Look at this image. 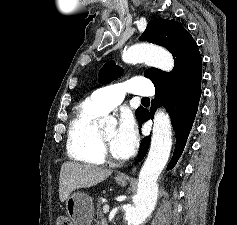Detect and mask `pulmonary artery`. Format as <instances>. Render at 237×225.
Returning a JSON list of instances; mask_svg holds the SVG:
<instances>
[{
	"instance_id": "obj_1",
	"label": "pulmonary artery",
	"mask_w": 237,
	"mask_h": 225,
	"mask_svg": "<svg viewBox=\"0 0 237 225\" xmlns=\"http://www.w3.org/2000/svg\"><path fill=\"white\" fill-rule=\"evenodd\" d=\"M126 93L152 96L154 87L146 78L134 77L97 89L91 94L90 100L100 111L107 113L123 101Z\"/></svg>"
}]
</instances>
